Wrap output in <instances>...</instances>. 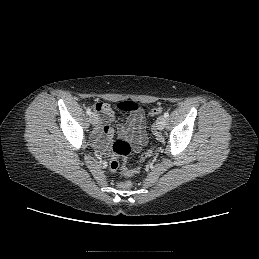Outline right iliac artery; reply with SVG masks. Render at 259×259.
<instances>
[{"instance_id": "82829eb1", "label": "right iliac artery", "mask_w": 259, "mask_h": 259, "mask_svg": "<svg viewBox=\"0 0 259 259\" xmlns=\"http://www.w3.org/2000/svg\"><path fill=\"white\" fill-rule=\"evenodd\" d=\"M86 112H87V114L90 115V114H91V109H90V108H87V109H86Z\"/></svg>"}]
</instances>
